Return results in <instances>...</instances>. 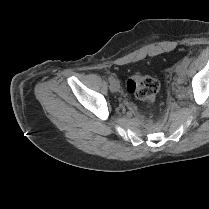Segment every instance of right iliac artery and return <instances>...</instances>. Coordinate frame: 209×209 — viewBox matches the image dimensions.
Wrapping results in <instances>:
<instances>
[{
	"label": "right iliac artery",
	"mask_w": 209,
	"mask_h": 209,
	"mask_svg": "<svg viewBox=\"0 0 209 209\" xmlns=\"http://www.w3.org/2000/svg\"><path fill=\"white\" fill-rule=\"evenodd\" d=\"M108 80L111 83L112 81H114V77L111 75V76H109Z\"/></svg>",
	"instance_id": "82829eb1"
}]
</instances>
